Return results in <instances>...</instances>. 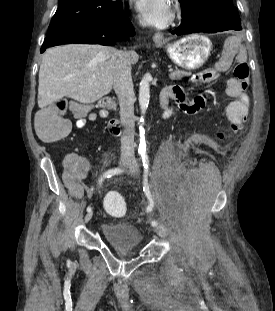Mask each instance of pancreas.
<instances>
[{
	"mask_svg": "<svg viewBox=\"0 0 275 311\" xmlns=\"http://www.w3.org/2000/svg\"><path fill=\"white\" fill-rule=\"evenodd\" d=\"M187 75H189L188 72L177 70V71H174L170 74V78L172 80H180L181 78H183L184 76H187Z\"/></svg>",
	"mask_w": 275,
	"mask_h": 311,
	"instance_id": "1",
	"label": "pancreas"
}]
</instances>
